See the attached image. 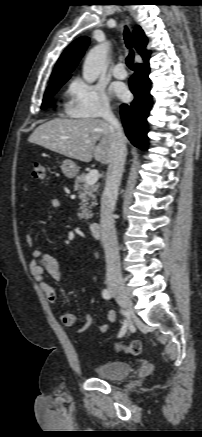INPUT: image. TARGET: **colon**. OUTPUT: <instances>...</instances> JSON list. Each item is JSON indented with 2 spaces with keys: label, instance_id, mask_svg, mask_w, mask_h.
Wrapping results in <instances>:
<instances>
[{
  "label": "colon",
  "instance_id": "obj_1",
  "mask_svg": "<svg viewBox=\"0 0 202 437\" xmlns=\"http://www.w3.org/2000/svg\"><path fill=\"white\" fill-rule=\"evenodd\" d=\"M32 177L34 179H44L46 177V169L43 163L35 162L32 168ZM117 351H124L132 355H139L143 352L142 343L138 340L132 341L130 344L116 343Z\"/></svg>",
  "mask_w": 202,
  "mask_h": 437
}]
</instances>
